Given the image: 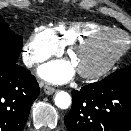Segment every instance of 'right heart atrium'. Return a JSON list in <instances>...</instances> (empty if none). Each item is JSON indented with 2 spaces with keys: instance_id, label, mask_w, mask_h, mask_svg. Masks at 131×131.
Listing matches in <instances>:
<instances>
[{
  "instance_id": "d8ad5b80",
  "label": "right heart atrium",
  "mask_w": 131,
  "mask_h": 131,
  "mask_svg": "<svg viewBox=\"0 0 131 131\" xmlns=\"http://www.w3.org/2000/svg\"><path fill=\"white\" fill-rule=\"evenodd\" d=\"M62 50V46L54 37L52 30L46 26L38 27L24 46L23 59L32 66L48 59Z\"/></svg>"
}]
</instances>
